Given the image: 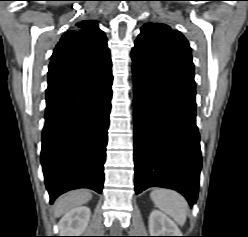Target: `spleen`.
<instances>
[{
    "label": "spleen",
    "mask_w": 248,
    "mask_h": 237,
    "mask_svg": "<svg viewBox=\"0 0 248 237\" xmlns=\"http://www.w3.org/2000/svg\"><path fill=\"white\" fill-rule=\"evenodd\" d=\"M150 197L157 208L171 216L179 225H184L188 204L183 196L173 190L160 188L153 190Z\"/></svg>",
    "instance_id": "3e777b00"
}]
</instances>
